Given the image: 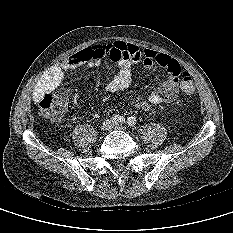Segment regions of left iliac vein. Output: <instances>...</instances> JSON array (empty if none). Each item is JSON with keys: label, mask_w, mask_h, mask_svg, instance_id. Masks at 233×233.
<instances>
[{"label": "left iliac vein", "mask_w": 233, "mask_h": 233, "mask_svg": "<svg viewBox=\"0 0 233 233\" xmlns=\"http://www.w3.org/2000/svg\"><path fill=\"white\" fill-rule=\"evenodd\" d=\"M112 127L115 128V129H124V126L121 125V124H118V123L113 124Z\"/></svg>", "instance_id": "left-iliac-vein-1"}]
</instances>
